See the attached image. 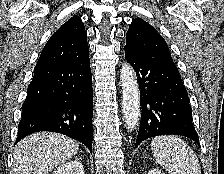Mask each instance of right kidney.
I'll list each match as a JSON object with an SVG mask.
<instances>
[{
    "label": "right kidney",
    "instance_id": "right-kidney-1",
    "mask_svg": "<svg viewBox=\"0 0 224 174\" xmlns=\"http://www.w3.org/2000/svg\"><path fill=\"white\" fill-rule=\"evenodd\" d=\"M52 174H84V168L80 161L71 160L57 167Z\"/></svg>",
    "mask_w": 224,
    "mask_h": 174
}]
</instances>
